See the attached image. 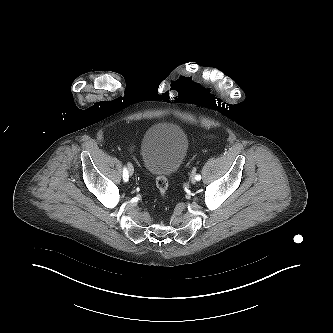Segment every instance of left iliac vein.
<instances>
[{
  "mask_svg": "<svg viewBox=\"0 0 333 333\" xmlns=\"http://www.w3.org/2000/svg\"><path fill=\"white\" fill-rule=\"evenodd\" d=\"M196 181H197V180H196L194 174H192V175H191V182H192L193 184H195Z\"/></svg>",
  "mask_w": 333,
  "mask_h": 333,
  "instance_id": "obj_1",
  "label": "left iliac vein"
}]
</instances>
